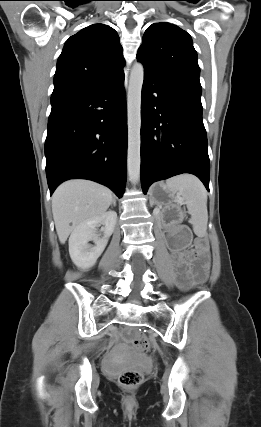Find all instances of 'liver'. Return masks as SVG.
Returning a JSON list of instances; mask_svg holds the SVG:
<instances>
[{
	"label": "liver",
	"instance_id": "liver-1",
	"mask_svg": "<svg viewBox=\"0 0 261 427\" xmlns=\"http://www.w3.org/2000/svg\"><path fill=\"white\" fill-rule=\"evenodd\" d=\"M112 191L88 180H69L52 197V213L61 244L74 228L106 212L112 203Z\"/></svg>",
	"mask_w": 261,
	"mask_h": 427
}]
</instances>
